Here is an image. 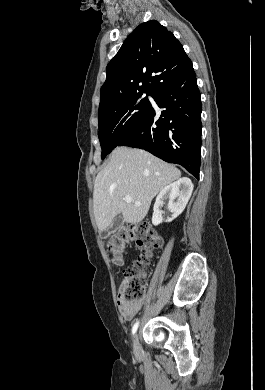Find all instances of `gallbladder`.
<instances>
[{"label": "gallbladder", "instance_id": "obj_1", "mask_svg": "<svg viewBox=\"0 0 265 390\" xmlns=\"http://www.w3.org/2000/svg\"><path fill=\"white\" fill-rule=\"evenodd\" d=\"M124 224V218L122 214L115 217L109 228L104 232L105 237H108L117 232Z\"/></svg>", "mask_w": 265, "mask_h": 390}]
</instances>
